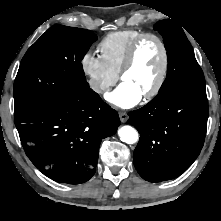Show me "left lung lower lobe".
Instances as JSON below:
<instances>
[{
  "mask_svg": "<svg viewBox=\"0 0 221 221\" xmlns=\"http://www.w3.org/2000/svg\"><path fill=\"white\" fill-rule=\"evenodd\" d=\"M208 115L206 92L185 88L166 89L129 112L128 122L140 133L133 155L140 176L160 182L185 172L203 147Z\"/></svg>",
  "mask_w": 221,
  "mask_h": 221,
  "instance_id": "1",
  "label": "left lung lower lobe"
}]
</instances>
